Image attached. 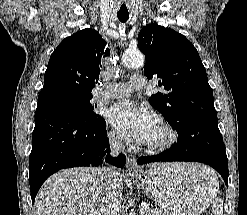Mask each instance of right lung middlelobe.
<instances>
[{
	"label": "right lung middle lobe",
	"instance_id": "1",
	"mask_svg": "<svg viewBox=\"0 0 247 215\" xmlns=\"http://www.w3.org/2000/svg\"><path fill=\"white\" fill-rule=\"evenodd\" d=\"M91 94H84L67 88H51L42 90L38 96V105L50 106L82 120L97 122L103 118L93 110Z\"/></svg>",
	"mask_w": 247,
	"mask_h": 215
}]
</instances>
